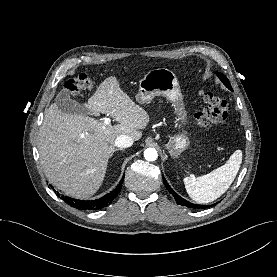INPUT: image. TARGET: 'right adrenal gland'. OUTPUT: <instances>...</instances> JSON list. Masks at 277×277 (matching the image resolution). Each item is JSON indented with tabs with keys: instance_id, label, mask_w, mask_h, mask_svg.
Masks as SVG:
<instances>
[{
	"instance_id": "2a0ac1e0",
	"label": "right adrenal gland",
	"mask_w": 277,
	"mask_h": 277,
	"mask_svg": "<svg viewBox=\"0 0 277 277\" xmlns=\"http://www.w3.org/2000/svg\"><path fill=\"white\" fill-rule=\"evenodd\" d=\"M118 150H123L122 148H120V149H115L112 153H111V155L110 156H112L113 155V153L115 152V151H118Z\"/></svg>"
}]
</instances>
